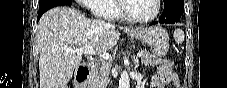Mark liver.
<instances>
[{
	"label": "liver",
	"mask_w": 227,
	"mask_h": 88,
	"mask_svg": "<svg viewBox=\"0 0 227 88\" xmlns=\"http://www.w3.org/2000/svg\"><path fill=\"white\" fill-rule=\"evenodd\" d=\"M40 88H65L81 62V54L67 52L90 46L102 54L120 38L115 25L87 19L75 8L55 7L43 14L37 27Z\"/></svg>",
	"instance_id": "6515ba94"
}]
</instances>
